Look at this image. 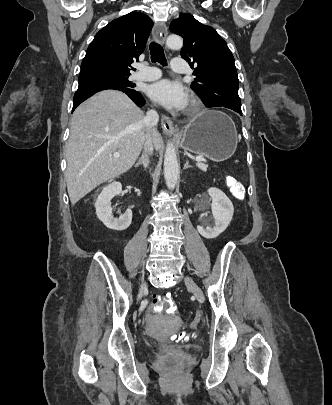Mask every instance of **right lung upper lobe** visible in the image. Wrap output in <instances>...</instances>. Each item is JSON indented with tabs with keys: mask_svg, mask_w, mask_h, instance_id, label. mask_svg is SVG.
I'll return each mask as SVG.
<instances>
[{
	"mask_svg": "<svg viewBox=\"0 0 332 405\" xmlns=\"http://www.w3.org/2000/svg\"><path fill=\"white\" fill-rule=\"evenodd\" d=\"M153 26L140 12H130L102 28L89 45L79 76L97 73L130 75L133 59L143 53Z\"/></svg>",
	"mask_w": 332,
	"mask_h": 405,
	"instance_id": "1",
	"label": "right lung upper lobe"
}]
</instances>
